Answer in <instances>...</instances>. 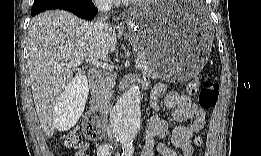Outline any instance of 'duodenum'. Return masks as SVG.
<instances>
[{
	"instance_id": "410a0bca",
	"label": "duodenum",
	"mask_w": 261,
	"mask_h": 156,
	"mask_svg": "<svg viewBox=\"0 0 261 156\" xmlns=\"http://www.w3.org/2000/svg\"><path fill=\"white\" fill-rule=\"evenodd\" d=\"M88 77L93 83L97 84L101 76L99 71L91 70L88 73ZM93 110L105 113L107 110V102L103 99L96 98L93 103Z\"/></svg>"
}]
</instances>
